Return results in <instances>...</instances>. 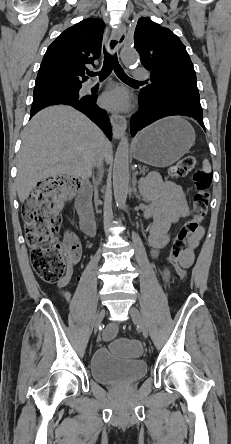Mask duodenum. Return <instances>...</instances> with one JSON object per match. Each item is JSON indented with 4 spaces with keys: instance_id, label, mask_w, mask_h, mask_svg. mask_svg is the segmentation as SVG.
<instances>
[{
    "instance_id": "duodenum-1",
    "label": "duodenum",
    "mask_w": 231,
    "mask_h": 444,
    "mask_svg": "<svg viewBox=\"0 0 231 444\" xmlns=\"http://www.w3.org/2000/svg\"><path fill=\"white\" fill-rule=\"evenodd\" d=\"M92 185L84 180L80 186L76 206L80 217V227L87 236L95 235V219L91 212Z\"/></svg>"
}]
</instances>
